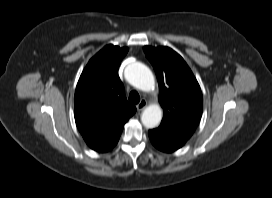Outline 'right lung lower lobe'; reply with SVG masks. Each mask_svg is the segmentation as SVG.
<instances>
[{"label":"right lung lower lobe","mask_w":272,"mask_h":198,"mask_svg":"<svg viewBox=\"0 0 272 198\" xmlns=\"http://www.w3.org/2000/svg\"><path fill=\"white\" fill-rule=\"evenodd\" d=\"M121 132L118 133L107 145H105L104 147H102L101 149L96 150V151L107 152V151L111 150L117 144L119 137L121 135Z\"/></svg>","instance_id":"right-lung-lower-lobe-1"}]
</instances>
